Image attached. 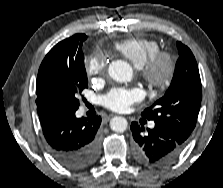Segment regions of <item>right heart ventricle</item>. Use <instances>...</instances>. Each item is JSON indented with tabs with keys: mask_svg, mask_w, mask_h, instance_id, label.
<instances>
[{
	"mask_svg": "<svg viewBox=\"0 0 223 188\" xmlns=\"http://www.w3.org/2000/svg\"><path fill=\"white\" fill-rule=\"evenodd\" d=\"M114 50L141 67L151 56L160 51L159 43L149 38H126L116 42Z\"/></svg>",
	"mask_w": 223,
	"mask_h": 188,
	"instance_id": "e07e8e85",
	"label": "right heart ventricle"
}]
</instances>
